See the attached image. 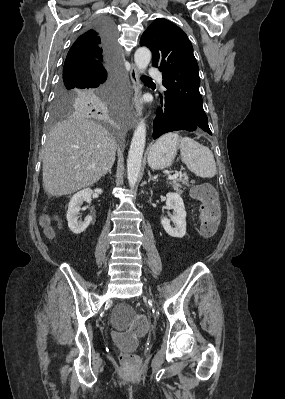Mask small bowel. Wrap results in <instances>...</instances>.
Here are the masks:
<instances>
[{
    "instance_id": "obj_1",
    "label": "small bowel",
    "mask_w": 285,
    "mask_h": 399,
    "mask_svg": "<svg viewBox=\"0 0 285 399\" xmlns=\"http://www.w3.org/2000/svg\"><path fill=\"white\" fill-rule=\"evenodd\" d=\"M201 219H203V216H202V214H201ZM114 316L116 317V316H117V314H115Z\"/></svg>"
}]
</instances>
